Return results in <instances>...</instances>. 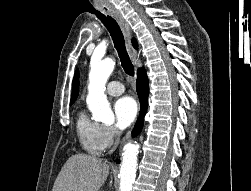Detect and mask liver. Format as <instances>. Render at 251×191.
Segmentation results:
<instances>
[{
  "label": "liver",
  "instance_id": "6515ba94",
  "mask_svg": "<svg viewBox=\"0 0 251 191\" xmlns=\"http://www.w3.org/2000/svg\"><path fill=\"white\" fill-rule=\"evenodd\" d=\"M109 169L100 157L75 153L59 171L52 191H98L105 183Z\"/></svg>",
  "mask_w": 251,
  "mask_h": 191
}]
</instances>
